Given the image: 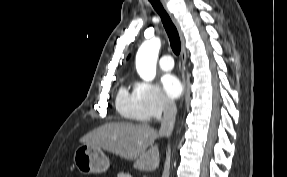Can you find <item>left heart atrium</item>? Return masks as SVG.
I'll use <instances>...</instances> for the list:
<instances>
[{
    "label": "left heart atrium",
    "instance_id": "obj_1",
    "mask_svg": "<svg viewBox=\"0 0 287 177\" xmlns=\"http://www.w3.org/2000/svg\"><path fill=\"white\" fill-rule=\"evenodd\" d=\"M161 82L163 89L169 98L176 99L182 94L183 83L176 75L166 74L162 77Z\"/></svg>",
    "mask_w": 287,
    "mask_h": 177
}]
</instances>
